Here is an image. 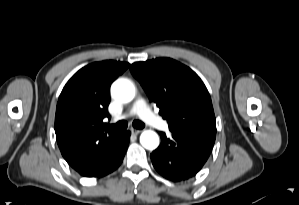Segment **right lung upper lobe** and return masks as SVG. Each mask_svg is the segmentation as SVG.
I'll use <instances>...</instances> for the list:
<instances>
[{"instance_id": "obj_1", "label": "right lung upper lobe", "mask_w": 299, "mask_h": 205, "mask_svg": "<svg viewBox=\"0 0 299 205\" xmlns=\"http://www.w3.org/2000/svg\"><path fill=\"white\" fill-rule=\"evenodd\" d=\"M129 63L102 61L80 69L63 88L56 109L55 133L61 154L77 172L116 144L121 134L104 129L110 117L111 83Z\"/></svg>"}]
</instances>
